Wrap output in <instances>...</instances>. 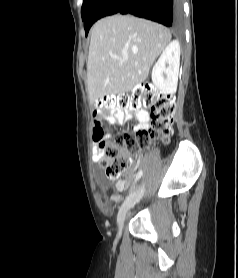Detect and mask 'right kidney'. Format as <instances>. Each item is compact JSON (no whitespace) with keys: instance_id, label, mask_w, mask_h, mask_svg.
Instances as JSON below:
<instances>
[{"instance_id":"ca27d5eb","label":"right kidney","mask_w":238,"mask_h":278,"mask_svg":"<svg viewBox=\"0 0 238 278\" xmlns=\"http://www.w3.org/2000/svg\"><path fill=\"white\" fill-rule=\"evenodd\" d=\"M179 66L180 44L175 40L167 45L152 69V82L160 92L173 94L176 91Z\"/></svg>"}]
</instances>
